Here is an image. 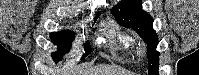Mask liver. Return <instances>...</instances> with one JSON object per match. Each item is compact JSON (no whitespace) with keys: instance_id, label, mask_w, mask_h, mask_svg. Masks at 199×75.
Segmentation results:
<instances>
[{"instance_id":"obj_1","label":"liver","mask_w":199,"mask_h":75,"mask_svg":"<svg viewBox=\"0 0 199 75\" xmlns=\"http://www.w3.org/2000/svg\"><path fill=\"white\" fill-rule=\"evenodd\" d=\"M74 73H79L78 75H130L127 74L128 72L126 71L119 70L107 65H100L94 69L80 70L79 72H74ZM66 75H71V74H66Z\"/></svg>"}]
</instances>
